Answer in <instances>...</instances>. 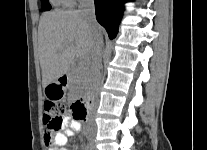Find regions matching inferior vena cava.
I'll use <instances>...</instances> for the list:
<instances>
[{"label":"inferior vena cava","mask_w":207,"mask_h":150,"mask_svg":"<svg viewBox=\"0 0 207 150\" xmlns=\"http://www.w3.org/2000/svg\"><path fill=\"white\" fill-rule=\"evenodd\" d=\"M79 11L87 18L90 23H96L94 0H79ZM101 56L102 37L97 36L92 44L89 55L93 80V91L96 98H98V90L102 83Z\"/></svg>","instance_id":"602c4592"}]
</instances>
